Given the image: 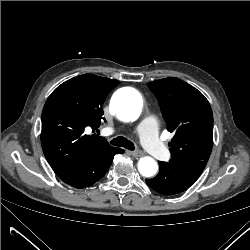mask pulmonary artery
Listing matches in <instances>:
<instances>
[{
  "instance_id": "1",
  "label": "pulmonary artery",
  "mask_w": 250,
  "mask_h": 250,
  "mask_svg": "<svg viewBox=\"0 0 250 250\" xmlns=\"http://www.w3.org/2000/svg\"><path fill=\"white\" fill-rule=\"evenodd\" d=\"M137 131L141 137L143 147L154 157L162 158L168 156V150L158 137V125L152 119L143 120Z\"/></svg>"
}]
</instances>
